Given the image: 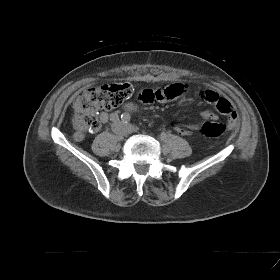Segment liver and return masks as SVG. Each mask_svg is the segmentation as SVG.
I'll list each match as a JSON object with an SVG mask.
<instances>
[{
  "instance_id": "liver-1",
  "label": "liver",
  "mask_w": 280,
  "mask_h": 280,
  "mask_svg": "<svg viewBox=\"0 0 280 280\" xmlns=\"http://www.w3.org/2000/svg\"><path fill=\"white\" fill-rule=\"evenodd\" d=\"M81 101L80 100H76V102L74 103L73 105V108L75 109L76 112L80 111L81 110Z\"/></svg>"
}]
</instances>
